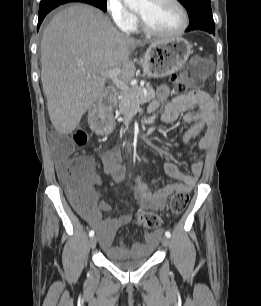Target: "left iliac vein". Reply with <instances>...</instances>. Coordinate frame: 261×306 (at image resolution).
<instances>
[{"label":"left iliac vein","mask_w":261,"mask_h":306,"mask_svg":"<svg viewBox=\"0 0 261 306\" xmlns=\"http://www.w3.org/2000/svg\"><path fill=\"white\" fill-rule=\"evenodd\" d=\"M161 242H162L163 246H165V247L169 246V243H170L169 238L166 237V236H163L161 238Z\"/></svg>","instance_id":"left-iliac-vein-1"}]
</instances>
